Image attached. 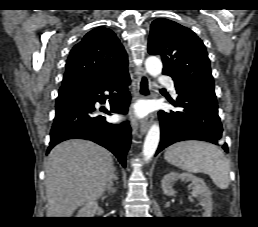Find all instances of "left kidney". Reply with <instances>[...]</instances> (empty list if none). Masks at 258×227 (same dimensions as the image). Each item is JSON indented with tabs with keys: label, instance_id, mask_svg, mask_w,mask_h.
<instances>
[{
	"label": "left kidney",
	"instance_id": "1",
	"mask_svg": "<svg viewBox=\"0 0 258 227\" xmlns=\"http://www.w3.org/2000/svg\"><path fill=\"white\" fill-rule=\"evenodd\" d=\"M190 181L192 185V196L200 198V205L203 207L202 217H211L212 213V199L211 192L205 182L190 173L170 172L162 179V190L166 195H173L175 190L173 184L177 180Z\"/></svg>",
	"mask_w": 258,
	"mask_h": 227
}]
</instances>
